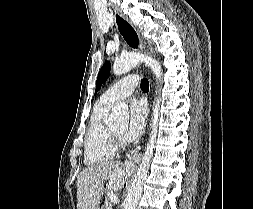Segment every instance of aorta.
Instances as JSON below:
<instances>
[{
	"label": "aorta",
	"instance_id": "aorta-1",
	"mask_svg": "<svg viewBox=\"0 0 253 209\" xmlns=\"http://www.w3.org/2000/svg\"><path fill=\"white\" fill-rule=\"evenodd\" d=\"M142 62L151 68L157 79L161 80L163 73L161 65L155 59L140 53H129L125 56L120 57L113 65V73L116 76H120L127 73ZM160 100L161 99L159 97L156 99V103L153 109V118L151 125L152 130L150 133L149 141L140 166L128 190V195L124 201L123 209H137L138 202L141 198L143 187L149 173V166L153 156V151L156 146L157 128L160 117ZM127 116L128 107L124 104H118L113 108V111L109 116V121L111 123L121 122L125 120Z\"/></svg>",
	"mask_w": 253,
	"mask_h": 209
}]
</instances>
